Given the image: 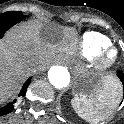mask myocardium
I'll return each instance as SVG.
<instances>
[{"instance_id": "obj_1", "label": "myocardium", "mask_w": 124, "mask_h": 124, "mask_svg": "<svg viewBox=\"0 0 124 124\" xmlns=\"http://www.w3.org/2000/svg\"><path fill=\"white\" fill-rule=\"evenodd\" d=\"M120 59V51L116 46L104 47L94 58L95 69L99 72H106L116 66Z\"/></svg>"}]
</instances>
